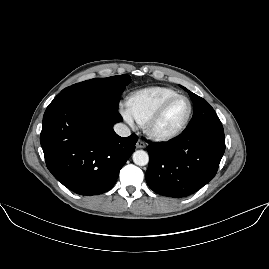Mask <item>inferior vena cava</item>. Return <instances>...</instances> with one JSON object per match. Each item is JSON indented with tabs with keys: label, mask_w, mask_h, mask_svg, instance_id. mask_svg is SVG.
I'll return each instance as SVG.
<instances>
[{
	"label": "inferior vena cava",
	"mask_w": 269,
	"mask_h": 269,
	"mask_svg": "<svg viewBox=\"0 0 269 269\" xmlns=\"http://www.w3.org/2000/svg\"><path fill=\"white\" fill-rule=\"evenodd\" d=\"M114 131L117 135L121 137H128L131 134L130 129L122 123H117L114 125Z\"/></svg>",
	"instance_id": "obj_1"
}]
</instances>
